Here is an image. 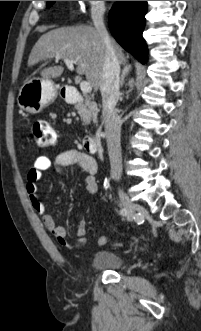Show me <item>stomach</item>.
Masks as SVG:
<instances>
[{
	"instance_id": "obj_1",
	"label": "stomach",
	"mask_w": 201,
	"mask_h": 331,
	"mask_svg": "<svg viewBox=\"0 0 201 331\" xmlns=\"http://www.w3.org/2000/svg\"><path fill=\"white\" fill-rule=\"evenodd\" d=\"M56 96L57 90L52 80L32 78L20 88L17 103L27 113L37 114L51 104Z\"/></svg>"
}]
</instances>
